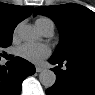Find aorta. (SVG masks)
<instances>
[{"label": "aorta", "mask_w": 95, "mask_h": 95, "mask_svg": "<svg viewBox=\"0 0 95 95\" xmlns=\"http://www.w3.org/2000/svg\"><path fill=\"white\" fill-rule=\"evenodd\" d=\"M20 36L26 41H33L38 38L35 28L29 25L21 28ZM39 81L44 87L50 88L55 84L56 75L52 70L45 69L39 74Z\"/></svg>", "instance_id": "762f6f07"}]
</instances>
